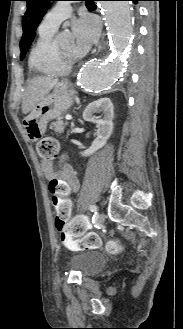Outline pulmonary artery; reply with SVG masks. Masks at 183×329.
<instances>
[{"mask_svg":"<svg viewBox=\"0 0 183 329\" xmlns=\"http://www.w3.org/2000/svg\"><path fill=\"white\" fill-rule=\"evenodd\" d=\"M73 8L68 2L57 3L43 18L39 30L42 32H55L59 25L69 18Z\"/></svg>","mask_w":183,"mask_h":329,"instance_id":"pulmonary-artery-1","label":"pulmonary artery"}]
</instances>
